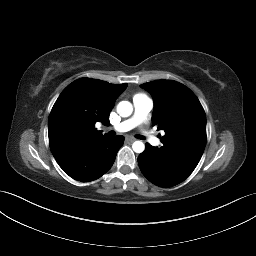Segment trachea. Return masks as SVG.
<instances>
[{
    "label": "trachea",
    "mask_w": 256,
    "mask_h": 256,
    "mask_svg": "<svg viewBox=\"0 0 256 256\" xmlns=\"http://www.w3.org/2000/svg\"><path fill=\"white\" fill-rule=\"evenodd\" d=\"M111 136L115 135L112 131L109 133ZM138 139L144 140V137L142 135L137 136Z\"/></svg>",
    "instance_id": "trachea-1"
}]
</instances>
